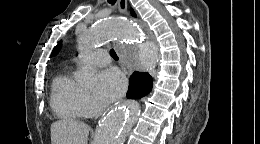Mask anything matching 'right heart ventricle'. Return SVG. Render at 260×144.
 Masks as SVG:
<instances>
[{
    "instance_id": "right-heart-ventricle-1",
    "label": "right heart ventricle",
    "mask_w": 260,
    "mask_h": 144,
    "mask_svg": "<svg viewBox=\"0 0 260 144\" xmlns=\"http://www.w3.org/2000/svg\"><path fill=\"white\" fill-rule=\"evenodd\" d=\"M83 94L82 87L69 72L60 73L52 83L51 107L60 118L79 119L85 115Z\"/></svg>"
}]
</instances>
